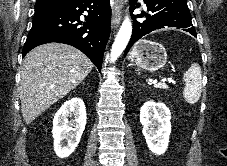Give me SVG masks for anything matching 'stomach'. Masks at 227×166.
<instances>
[{
    "label": "stomach",
    "instance_id": "obj_1",
    "mask_svg": "<svg viewBox=\"0 0 227 166\" xmlns=\"http://www.w3.org/2000/svg\"><path fill=\"white\" fill-rule=\"evenodd\" d=\"M128 58L138 67L153 72L166 64L167 52L165 47L159 43L140 40L133 46Z\"/></svg>",
    "mask_w": 227,
    "mask_h": 166
}]
</instances>
